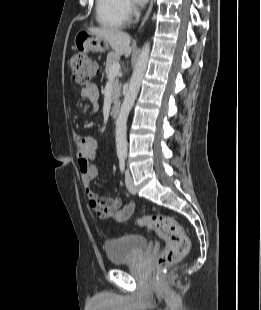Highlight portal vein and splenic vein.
<instances>
[{
    "label": "portal vein and splenic vein",
    "mask_w": 261,
    "mask_h": 310,
    "mask_svg": "<svg viewBox=\"0 0 261 310\" xmlns=\"http://www.w3.org/2000/svg\"><path fill=\"white\" fill-rule=\"evenodd\" d=\"M120 71V64L119 63H114L111 68H110V71H109V76L111 77H115L117 76V74L119 73Z\"/></svg>",
    "instance_id": "18ae733b"
}]
</instances>
